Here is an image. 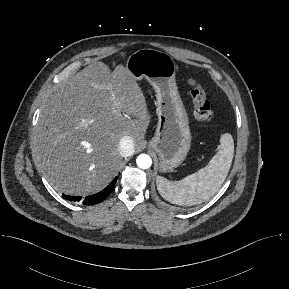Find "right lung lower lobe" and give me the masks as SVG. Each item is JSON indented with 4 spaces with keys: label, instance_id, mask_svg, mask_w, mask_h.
<instances>
[{
    "label": "right lung lower lobe",
    "instance_id": "1",
    "mask_svg": "<svg viewBox=\"0 0 289 289\" xmlns=\"http://www.w3.org/2000/svg\"><path fill=\"white\" fill-rule=\"evenodd\" d=\"M117 177H115L112 182L102 191L93 194V195H89L86 196L84 198L81 197H76V196H68V195H63V198L68 200V201H72V202H76V201H81L84 205H93L96 203H99L101 201H103L114 189L115 183H116Z\"/></svg>",
    "mask_w": 289,
    "mask_h": 289
}]
</instances>
